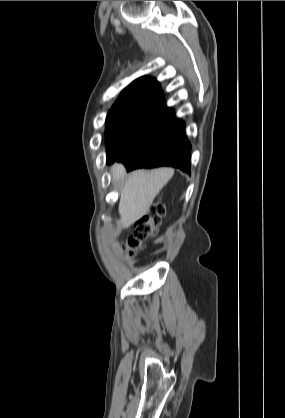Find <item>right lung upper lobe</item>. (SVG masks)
Wrapping results in <instances>:
<instances>
[{
  "label": "right lung upper lobe",
  "instance_id": "obj_1",
  "mask_svg": "<svg viewBox=\"0 0 285 418\" xmlns=\"http://www.w3.org/2000/svg\"><path fill=\"white\" fill-rule=\"evenodd\" d=\"M137 103L168 109L156 79L141 77L134 80L121 94L114 105Z\"/></svg>",
  "mask_w": 285,
  "mask_h": 418
}]
</instances>
